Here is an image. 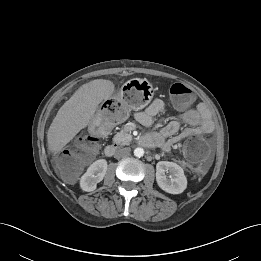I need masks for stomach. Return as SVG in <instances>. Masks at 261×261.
<instances>
[{
	"label": "stomach",
	"mask_w": 261,
	"mask_h": 261,
	"mask_svg": "<svg viewBox=\"0 0 261 261\" xmlns=\"http://www.w3.org/2000/svg\"><path fill=\"white\" fill-rule=\"evenodd\" d=\"M152 97L153 87L151 83L145 79L134 78L123 84L117 95V100L129 112L144 108L151 101ZM102 126L103 121L96 116L92 119L89 128L93 132H98Z\"/></svg>",
	"instance_id": "stomach-1"
}]
</instances>
